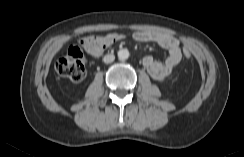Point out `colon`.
<instances>
[{
  "label": "colon",
  "instance_id": "colon-1",
  "mask_svg": "<svg viewBox=\"0 0 244 157\" xmlns=\"http://www.w3.org/2000/svg\"><path fill=\"white\" fill-rule=\"evenodd\" d=\"M117 41H119V37L116 33L92 36V45L98 48H107ZM182 53L185 59L191 58L188 48H184ZM55 68L57 73L63 77L74 82L82 81L86 76L85 56L82 50L77 46L70 47L67 54L56 62Z\"/></svg>",
  "mask_w": 244,
  "mask_h": 157
}]
</instances>
